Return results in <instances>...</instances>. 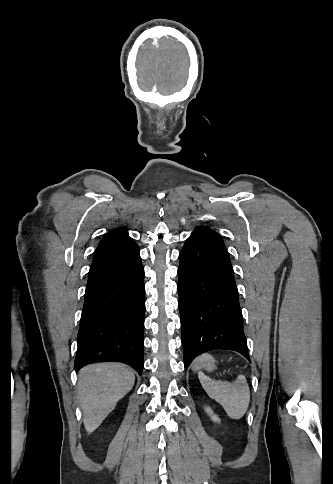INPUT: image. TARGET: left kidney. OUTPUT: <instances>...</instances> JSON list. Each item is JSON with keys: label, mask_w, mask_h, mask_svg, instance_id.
Masks as SVG:
<instances>
[{"label": "left kidney", "mask_w": 333, "mask_h": 484, "mask_svg": "<svg viewBox=\"0 0 333 484\" xmlns=\"http://www.w3.org/2000/svg\"><path fill=\"white\" fill-rule=\"evenodd\" d=\"M205 410L207 411V413L211 416V419L215 422H220V419L213 413V411L207 407L205 408Z\"/></svg>", "instance_id": "obj_1"}]
</instances>
